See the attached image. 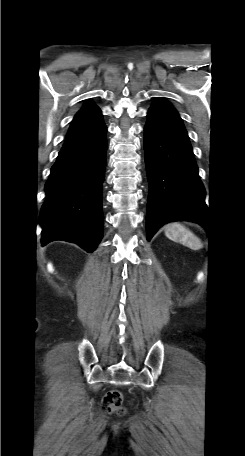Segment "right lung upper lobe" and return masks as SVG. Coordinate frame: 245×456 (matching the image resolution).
Masks as SVG:
<instances>
[{
	"mask_svg": "<svg viewBox=\"0 0 245 456\" xmlns=\"http://www.w3.org/2000/svg\"><path fill=\"white\" fill-rule=\"evenodd\" d=\"M101 110L87 102L75 115L61 150L73 149L94 141L103 127Z\"/></svg>",
	"mask_w": 245,
	"mask_h": 456,
	"instance_id": "cb5924a9",
	"label": "right lung upper lobe"
}]
</instances>
